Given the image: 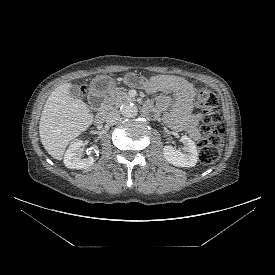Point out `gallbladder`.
Here are the masks:
<instances>
[{"instance_id":"gallbladder-1","label":"gallbladder","mask_w":275,"mask_h":275,"mask_svg":"<svg viewBox=\"0 0 275 275\" xmlns=\"http://www.w3.org/2000/svg\"><path fill=\"white\" fill-rule=\"evenodd\" d=\"M69 95L73 98H77L81 95V90L78 85H72L69 89Z\"/></svg>"}]
</instances>
